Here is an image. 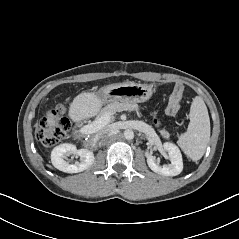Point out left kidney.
Returning <instances> with one entry per match:
<instances>
[{
    "mask_svg": "<svg viewBox=\"0 0 239 239\" xmlns=\"http://www.w3.org/2000/svg\"><path fill=\"white\" fill-rule=\"evenodd\" d=\"M164 149L168 152L171 164L160 166L156 158L150 155L148 152L145 153L147 158V164L152 171L164 176H176L183 170L182 155L179 148L170 142L163 144Z\"/></svg>",
    "mask_w": 239,
    "mask_h": 239,
    "instance_id": "obj_1",
    "label": "left kidney"
}]
</instances>
